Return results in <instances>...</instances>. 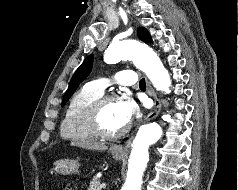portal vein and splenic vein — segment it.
<instances>
[{
	"mask_svg": "<svg viewBox=\"0 0 238 190\" xmlns=\"http://www.w3.org/2000/svg\"><path fill=\"white\" fill-rule=\"evenodd\" d=\"M106 186H107L106 183H102V184H101V188H102V189L106 188Z\"/></svg>",
	"mask_w": 238,
	"mask_h": 190,
	"instance_id": "obj_1",
	"label": "portal vein and splenic vein"
}]
</instances>
